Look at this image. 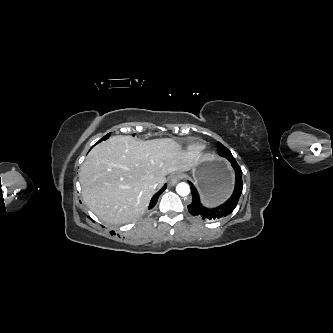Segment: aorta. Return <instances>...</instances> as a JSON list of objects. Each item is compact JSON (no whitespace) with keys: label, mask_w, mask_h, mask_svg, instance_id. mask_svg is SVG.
Here are the masks:
<instances>
[{"label":"aorta","mask_w":333,"mask_h":333,"mask_svg":"<svg viewBox=\"0 0 333 333\" xmlns=\"http://www.w3.org/2000/svg\"><path fill=\"white\" fill-rule=\"evenodd\" d=\"M176 191L180 196H187L190 192L189 185L182 182L176 186Z\"/></svg>","instance_id":"1"}]
</instances>
